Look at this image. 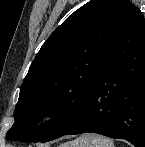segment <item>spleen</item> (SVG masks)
<instances>
[{
  "instance_id": "obj_1",
  "label": "spleen",
  "mask_w": 145,
  "mask_h": 147,
  "mask_svg": "<svg viewBox=\"0 0 145 147\" xmlns=\"http://www.w3.org/2000/svg\"><path fill=\"white\" fill-rule=\"evenodd\" d=\"M66 147H114V143L110 138L101 135L84 134L69 142Z\"/></svg>"
}]
</instances>
